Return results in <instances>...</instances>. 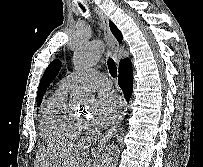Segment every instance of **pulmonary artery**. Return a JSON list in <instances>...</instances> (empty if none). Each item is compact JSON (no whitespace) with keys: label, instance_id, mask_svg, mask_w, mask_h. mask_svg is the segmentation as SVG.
<instances>
[{"label":"pulmonary artery","instance_id":"obj_1","mask_svg":"<svg viewBox=\"0 0 203 167\" xmlns=\"http://www.w3.org/2000/svg\"><path fill=\"white\" fill-rule=\"evenodd\" d=\"M77 83H81L92 90L108 89L111 86L110 80L94 69L69 73L62 80V85L66 87H72Z\"/></svg>","mask_w":203,"mask_h":167}]
</instances>
